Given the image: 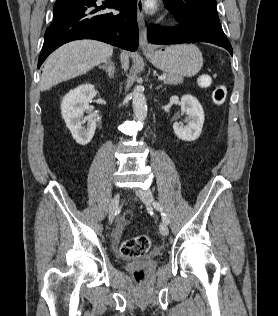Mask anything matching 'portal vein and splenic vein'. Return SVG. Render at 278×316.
I'll use <instances>...</instances> for the list:
<instances>
[{"mask_svg": "<svg viewBox=\"0 0 278 316\" xmlns=\"http://www.w3.org/2000/svg\"><path fill=\"white\" fill-rule=\"evenodd\" d=\"M165 78H166V77L162 75V76H159V77H158V80L162 81V80H164Z\"/></svg>", "mask_w": 278, "mask_h": 316, "instance_id": "obj_1", "label": "portal vein and splenic vein"}]
</instances>
